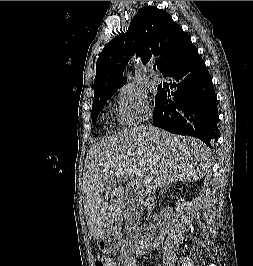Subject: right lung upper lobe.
Wrapping results in <instances>:
<instances>
[{
  "mask_svg": "<svg viewBox=\"0 0 253 266\" xmlns=\"http://www.w3.org/2000/svg\"><path fill=\"white\" fill-rule=\"evenodd\" d=\"M194 48L189 35L167 12L154 7L141 8L127 33L111 40L99 54L93 101L124 85L123 71L134 54L144 64L155 59L158 70L163 73Z\"/></svg>",
  "mask_w": 253,
  "mask_h": 266,
  "instance_id": "right-lung-upper-lobe-1",
  "label": "right lung upper lobe"
}]
</instances>
